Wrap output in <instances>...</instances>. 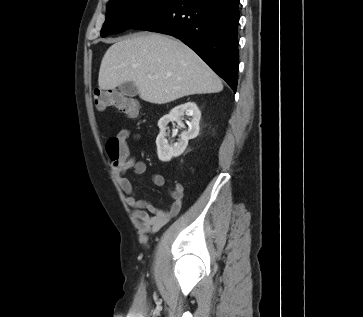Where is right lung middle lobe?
Here are the masks:
<instances>
[{
  "instance_id": "dd1d6c3e",
  "label": "right lung middle lobe",
  "mask_w": 363,
  "mask_h": 317,
  "mask_svg": "<svg viewBox=\"0 0 363 317\" xmlns=\"http://www.w3.org/2000/svg\"><path fill=\"white\" fill-rule=\"evenodd\" d=\"M177 0H110L101 36L117 34L165 10Z\"/></svg>"
}]
</instances>
